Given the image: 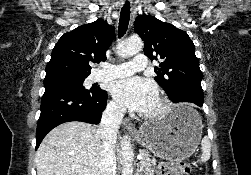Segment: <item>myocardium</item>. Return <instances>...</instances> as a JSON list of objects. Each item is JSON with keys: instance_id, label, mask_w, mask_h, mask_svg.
I'll return each mask as SVG.
<instances>
[{"instance_id": "obj_1", "label": "myocardium", "mask_w": 251, "mask_h": 175, "mask_svg": "<svg viewBox=\"0 0 251 175\" xmlns=\"http://www.w3.org/2000/svg\"><path fill=\"white\" fill-rule=\"evenodd\" d=\"M169 111H170L169 103L164 99H160L154 111L151 113V116L152 117H164L168 114Z\"/></svg>"}]
</instances>
